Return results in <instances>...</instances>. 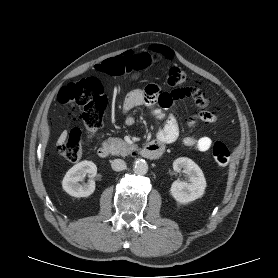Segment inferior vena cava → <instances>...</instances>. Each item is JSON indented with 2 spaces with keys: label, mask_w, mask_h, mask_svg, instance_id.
<instances>
[{
  "label": "inferior vena cava",
  "mask_w": 278,
  "mask_h": 278,
  "mask_svg": "<svg viewBox=\"0 0 278 278\" xmlns=\"http://www.w3.org/2000/svg\"><path fill=\"white\" fill-rule=\"evenodd\" d=\"M111 167L115 171H122L126 168V163L122 159H115L111 161Z\"/></svg>",
  "instance_id": "1"
}]
</instances>
